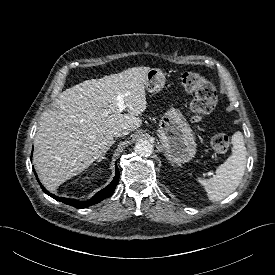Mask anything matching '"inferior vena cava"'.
Listing matches in <instances>:
<instances>
[{
  "label": "inferior vena cava",
  "instance_id": "inferior-vena-cava-1",
  "mask_svg": "<svg viewBox=\"0 0 275 275\" xmlns=\"http://www.w3.org/2000/svg\"><path fill=\"white\" fill-rule=\"evenodd\" d=\"M128 134H129V131H128V130L120 129L119 131H116V132L114 133V136H115V137H124V136H126V135H128Z\"/></svg>",
  "mask_w": 275,
  "mask_h": 275
}]
</instances>
